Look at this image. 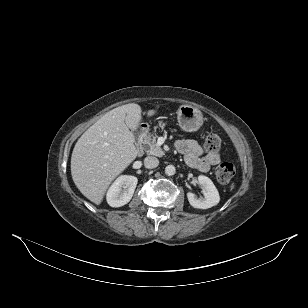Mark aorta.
Returning <instances> with one entry per match:
<instances>
[{
	"instance_id": "aorta-1",
	"label": "aorta",
	"mask_w": 308,
	"mask_h": 308,
	"mask_svg": "<svg viewBox=\"0 0 308 308\" xmlns=\"http://www.w3.org/2000/svg\"><path fill=\"white\" fill-rule=\"evenodd\" d=\"M175 172H176V169H175V167H174L173 165H168V166H166V168H165V173H166L167 175H169V176L174 175Z\"/></svg>"
}]
</instances>
